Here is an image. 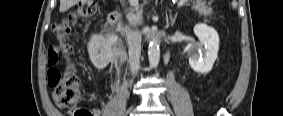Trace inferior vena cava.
Masks as SVG:
<instances>
[{
  "label": "inferior vena cava",
  "instance_id": "obj_1",
  "mask_svg": "<svg viewBox=\"0 0 283 116\" xmlns=\"http://www.w3.org/2000/svg\"><path fill=\"white\" fill-rule=\"evenodd\" d=\"M126 37L130 71L132 75H136L140 69L141 35L138 30L127 29Z\"/></svg>",
  "mask_w": 283,
  "mask_h": 116
}]
</instances>
